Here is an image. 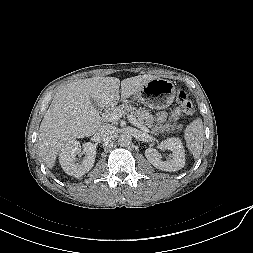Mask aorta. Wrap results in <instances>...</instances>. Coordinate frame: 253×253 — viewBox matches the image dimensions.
Instances as JSON below:
<instances>
[{
  "instance_id": "aorta-1",
  "label": "aorta",
  "mask_w": 253,
  "mask_h": 253,
  "mask_svg": "<svg viewBox=\"0 0 253 253\" xmlns=\"http://www.w3.org/2000/svg\"><path fill=\"white\" fill-rule=\"evenodd\" d=\"M131 143V136L127 133H122L118 137V144L120 146H127Z\"/></svg>"
}]
</instances>
